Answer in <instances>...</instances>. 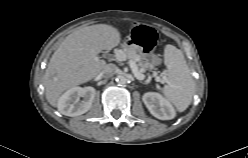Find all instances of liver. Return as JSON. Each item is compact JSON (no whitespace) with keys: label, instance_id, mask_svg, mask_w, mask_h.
<instances>
[{"label":"liver","instance_id":"liver-1","mask_svg":"<svg viewBox=\"0 0 248 158\" xmlns=\"http://www.w3.org/2000/svg\"><path fill=\"white\" fill-rule=\"evenodd\" d=\"M120 40L119 31L107 24L82 27L69 34L53 53L43 77L48 102L56 107L64 91L100 74L106 62L98 54L113 49Z\"/></svg>","mask_w":248,"mask_h":158}]
</instances>
